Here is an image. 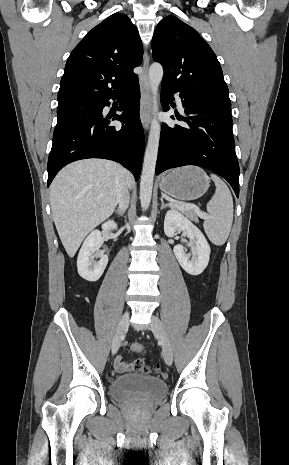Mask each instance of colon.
<instances>
[{
  "label": "colon",
  "instance_id": "obj_1",
  "mask_svg": "<svg viewBox=\"0 0 289 465\" xmlns=\"http://www.w3.org/2000/svg\"><path fill=\"white\" fill-rule=\"evenodd\" d=\"M131 349L133 352H141L142 349H143V346L139 343H135L131 346ZM136 368L138 371L142 372V373H145V374H148L151 372V368L146 365L142 360H137L136 361Z\"/></svg>",
  "mask_w": 289,
  "mask_h": 465
}]
</instances>
